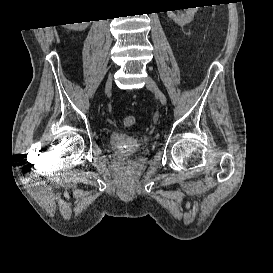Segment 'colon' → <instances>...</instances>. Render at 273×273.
I'll return each mask as SVG.
<instances>
[{
	"instance_id": "1",
	"label": "colon",
	"mask_w": 273,
	"mask_h": 273,
	"mask_svg": "<svg viewBox=\"0 0 273 273\" xmlns=\"http://www.w3.org/2000/svg\"><path fill=\"white\" fill-rule=\"evenodd\" d=\"M123 123L127 127L134 126L136 124V118L133 115L126 116L123 120Z\"/></svg>"
}]
</instances>
